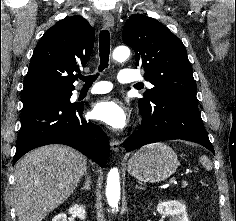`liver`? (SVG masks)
Here are the masks:
<instances>
[{
	"instance_id": "6515ba94",
	"label": "liver",
	"mask_w": 236,
	"mask_h": 221,
	"mask_svg": "<svg viewBox=\"0 0 236 221\" xmlns=\"http://www.w3.org/2000/svg\"><path fill=\"white\" fill-rule=\"evenodd\" d=\"M86 169V157L67 146L48 145L26 154L15 169L18 221H42L73 193Z\"/></svg>"
}]
</instances>
